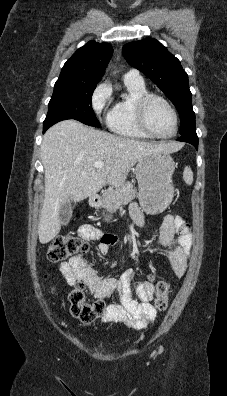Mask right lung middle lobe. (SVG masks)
Here are the masks:
<instances>
[{
  "instance_id": "1",
  "label": "right lung middle lobe",
  "mask_w": 227,
  "mask_h": 396,
  "mask_svg": "<svg viewBox=\"0 0 227 396\" xmlns=\"http://www.w3.org/2000/svg\"><path fill=\"white\" fill-rule=\"evenodd\" d=\"M98 81H74L59 78L49 102L45 121L75 119L86 125L100 127L91 105Z\"/></svg>"
}]
</instances>
